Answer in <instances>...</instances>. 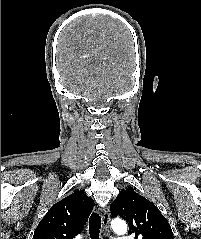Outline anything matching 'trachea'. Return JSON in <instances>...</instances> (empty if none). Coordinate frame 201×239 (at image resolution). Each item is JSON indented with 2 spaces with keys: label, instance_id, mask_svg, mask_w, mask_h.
I'll return each instance as SVG.
<instances>
[{
  "label": "trachea",
  "instance_id": "obj_1",
  "mask_svg": "<svg viewBox=\"0 0 201 239\" xmlns=\"http://www.w3.org/2000/svg\"><path fill=\"white\" fill-rule=\"evenodd\" d=\"M101 229V217L93 212L89 220V233L91 239H99Z\"/></svg>",
  "mask_w": 201,
  "mask_h": 239
}]
</instances>
